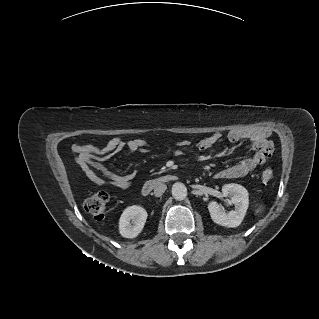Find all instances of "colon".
Returning a JSON list of instances; mask_svg holds the SVG:
<instances>
[{
    "instance_id": "colon-1",
    "label": "colon",
    "mask_w": 319,
    "mask_h": 319,
    "mask_svg": "<svg viewBox=\"0 0 319 319\" xmlns=\"http://www.w3.org/2000/svg\"><path fill=\"white\" fill-rule=\"evenodd\" d=\"M261 152L269 157L272 153L273 146L269 140H265L261 147ZM262 180L269 182L273 179L274 173L271 169H265L261 173ZM109 195L105 191L97 192L88 197L83 204L84 210L95 219H102L105 216Z\"/></svg>"
}]
</instances>
